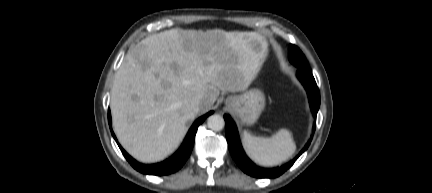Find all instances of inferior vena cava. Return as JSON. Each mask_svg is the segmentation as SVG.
Returning a JSON list of instances; mask_svg holds the SVG:
<instances>
[{"mask_svg":"<svg viewBox=\"0 0 432 193\" xmlns=\"http://www.w3.org/2000/svg\"><path fill=\"white\" fill-rule=\"evenodd\" d=\"M200 100L199 99H194V100H192L191 101V108L194 110V111H199V108H200Z\"/></svg>","mask_w":432,"mask_h":193,"instance_id":"obj_1","label":"inferior vena cava"}]
</instances>
